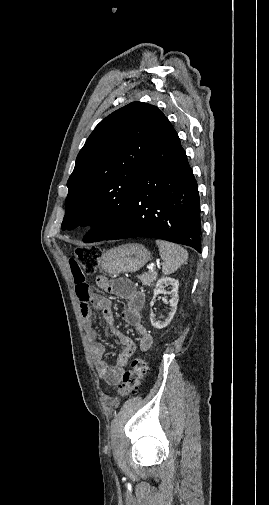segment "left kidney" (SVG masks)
I'll list each match as a JSON object with an SVG mask.
<instances>
[{
  "mask_svg": "<svg viewBox=\"0 0 269 505\" xmlns=\"http://www.w3.org/2000/svg\"><path fill=\"white\" fill-rule=\"evenodd\" d=\"M166 286H170L171 290L166 291L164 289ZM178 288H179V281L174 278L162 277L161 279H159L157 281L155 289H154V295H153L152 301L150 302V307L151 308L153 307L155 299L159 294H170L171 299L169 300V303L171 306V311L169 312L168 316L163 321H158L155 317V314L151 311L150 321H151V324L154 328H156V329L165 328L173 319V316L176 312L177 304H178Z\"/></svg>",
  "mask_w": 269,
  "mask_h": 505,
  "instance_id": "left-kidney-1",
  "label": "left kidney"
}]
</instances>
